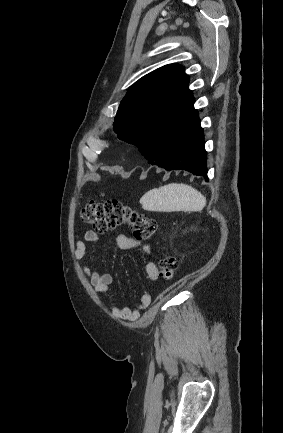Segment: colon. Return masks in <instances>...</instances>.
I'll return each instance as SVG.
<instances>
[{
	"label": "colon",
	"mask_w": 283,
	"mask_h": 433,
	"mask_svg": "<svg viewBox=\"0 0 283 433\" xmlns=\"http://www.w3.org/2000/svg\"><path fill=\"white\" fill-rule=\"evenodd\" d=\"M80 218L83 223L100 233L125 224L138 240L149 239L158 231V224L154 219L115 199L105 202L89 201L82 207ZM177 268V259L174 256H166L159 263V276L171 279Z\"/></svg>",
	"instance_id": "5ec220e1"
}]
</instances>
